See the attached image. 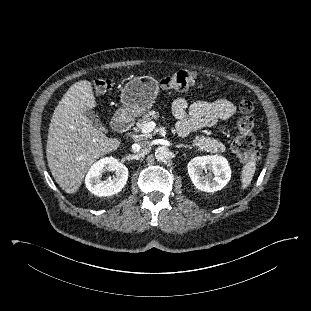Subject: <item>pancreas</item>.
Returning <instances> with one entry per match:
<instances>
[{
    "instance_id": "obj_1",
    "label": "pancreas",
    "mask_w": 311,
    "mask_h": 311,
    "mask_svg": "<svg viewBox=\"0 0 311 311\" xmlns=\"http://www.w3.org/2000/svg\"><path fill=\"white\" fill-rule=\"evenodd\" d=\"M159 118V113L155 110H151L145 115H143L142 119L138 120L135 131L140 132L143 126L150 122L152 119L157 120ZM193 146L198 147L202 151L207 152H223L225 150V146L220 141L205 137V136H196L192 141Z\"/></svg>"
}]
</instances>
